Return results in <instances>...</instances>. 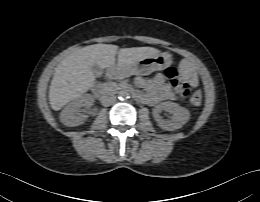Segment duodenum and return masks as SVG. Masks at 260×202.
<instances>
[{"mask_svg": "<svg viewBox=\"0 0 260 202\" xmlns=\"http://www.w3.org/2000/svg\"><path fill=\"white\" fill-rule=\"evenodd\" d=\"M121 74H122V72L118 68H110L108 70V76L111 77V78H117V77L121 76ZM93 89L96 92H100V90L97 88V85H95ZM134 95L137 96V92H135Z\"/></svg>", "mask_w": 260, "mask_h": 202, "instance_id": "1", "label": "duodenum"}]
</instances>
